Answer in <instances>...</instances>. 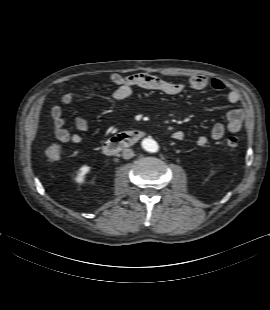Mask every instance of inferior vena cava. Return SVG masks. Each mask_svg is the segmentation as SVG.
I'll list each match as a JSON object with an SVG mask.
<instances>
[{"label":"inferior vena cava","mask_w":270,"mask_h":310,"mask_svg":"<svg viewBox=\"0 0 270 310\" xmlns=\"http://www.w3.org/2000/svg\"><path fill=\"white\" fill-rule=\"evenodd\" d=\"M134 156V151L132 149L126 148L122 152V157L124 159H130Z\"/></svg>","instance_id":"1"}]
</instances>
